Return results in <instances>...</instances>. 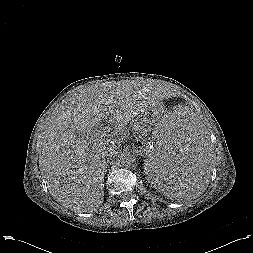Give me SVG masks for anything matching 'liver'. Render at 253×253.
<instances>
[{
  "label": "liver",
  "mask_w": 253,
  "mask_h": 253,
  "mask_svg": "<svg viewBox=\"0 0 253 253\" xmlns=\"http://www.w3.org/2000/svg\"><path fill=\"white\" fill-rule=\"evenodd\" d=\"M158 88L133 81L88 86L68 98L50 118L41 138L39 167L52 197L76 211L92 212L104 201L105 151L113 138L92 141L108 115L114 136L145 108Z\"/></svg>",
  "instance_id": "1"
}]
</instances>
